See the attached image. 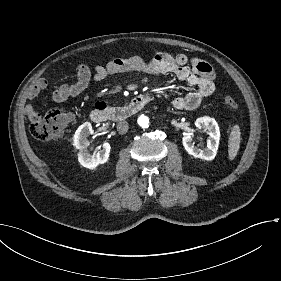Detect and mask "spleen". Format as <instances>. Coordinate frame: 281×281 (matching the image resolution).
Returning a JSON list of instances; mask_svg holds the SVG:
<instances>
[{
    "instance_id": "3e777b00",
    "label": "spleen",
    "mask_w": 281,
    "mask_h": 281,
    "mask_svg": "<svg viewBox=\"0 0 281 281\" xmlns=\"http://www.w3.org/2000/svg\"><path fill=\"white\" fill-rule=\"evenodd\" d=\"M241 130L238 123L234 124L228 138V159L233 161L240 149Z\"/></svg>"
}]
</instances>
